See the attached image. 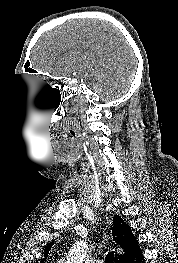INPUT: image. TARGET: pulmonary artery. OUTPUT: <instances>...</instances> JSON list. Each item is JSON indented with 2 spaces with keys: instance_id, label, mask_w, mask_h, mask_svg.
Wrapping results in <instances>:
<instances>
[{
  "instance_id": "1",
  "label": "pulmonary artery",
  "mask_w": 178,
  "mask_h": 263,
  "mask_svg": "<svg viewBox=\"0 0 178 263\" xmlns=\"http://www.w3.org/2000/svg\"><path fill=\"white\" fill-rule=\"evenodd\" d=\"M97 263H103L101 260H97Z\"/></svg>"
}]
</instances>
